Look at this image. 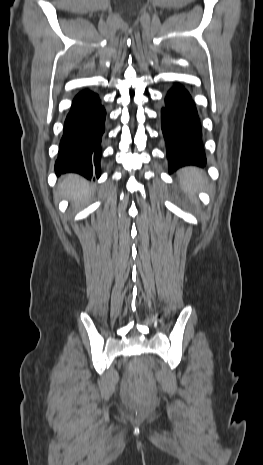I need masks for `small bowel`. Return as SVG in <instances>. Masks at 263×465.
Returning a JSON list of instances; mask_svg holds the SVG:
<instances>
[{"label":"small bowel","mask_w":263,"mask_h":465,"mask_svg":"<svg viewBox=\"0 0 263 465\" xmlns=\"http://www.w3.org/2000/svg\"><path fill=\"white\" fill-rule=\"evenodd\" d=\"M136 376H139V375H136ZM136 376H135V377H136ZM130 387H131V380L128 378V379L125 381V383H124V390H125V392L129 391Z\"/></svg>","instance_id":"c3829d8e"}]
</instances>
